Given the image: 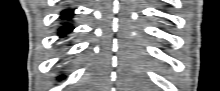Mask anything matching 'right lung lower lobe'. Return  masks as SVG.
<instances>
[{
	"label": "right lung lower lobe",
	"instance_id": "right-lung-lower-lobe-1",
	"mask_svg": "<svg viewBox=\"0 0 220 91\" xmlns=\"http://www.w3.org/2000/svg\"><path fill=\"white\" fill-rule=\"evenodd\" d=\"M70 11L73 10H64L61 13V19L65 20L66 18L70 17ZM73 30V27L69 23H64L63 26L59 29V35L61 37H65L66 33H69ZM62 78V76L60 77Z\"/></svg>",
	"mask_w": 220,
	"mask_h": 91
}]
</instances>
